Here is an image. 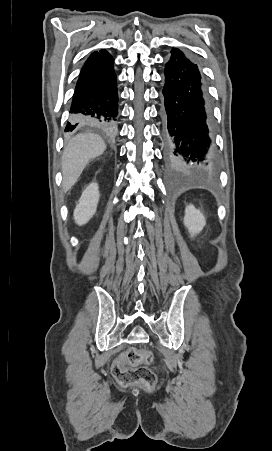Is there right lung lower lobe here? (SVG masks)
Returning a JSON list of instances; mask_svg holds the SVG:
<instances>
[{
  "instance_id": "right-lung-lower-lobe-1",
  "label": "right lung lower lobe",
  "mask_w": 272,
  "mask_h": 451,
  "mask_svg": "<svg viewBox=\"0 0 272 451\" xmlns=\"http://www.w3.org/2000/svg\"><path fill=\"white\" fill-rule=\"evenodd\" d=\"M65 131L77 126L112 133L118 117V93L113 58L107 52L91 54L85 62L72 97Z\"/></svg>"
}]
</instances>
